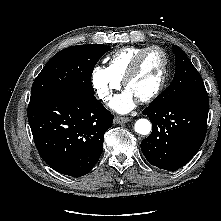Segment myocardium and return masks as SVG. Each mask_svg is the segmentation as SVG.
Listing matches in <instances>:
<instances>
[{
	"label": "myocardium",
	"instance_id": "f54148a6",
	"mask_svg": "<svg viewBox=\"0 0 221 221\" xmlns=\"http://www.w3.org/2000/svg\"><path fill=\"white\" fill-rule=\"evenodd\" d=\"M152 50H156V51L160 52L163 57L162 73H161L159 82H158L157 86L155 87V89L151 93L147 94L146 96L138 99V101L140 103L149 102V101L153 100L154 98H156L162 92V90L165 86V83L167 81V77H168L169 59H168L166 52L161 47L156 46V45L146 47L139 54H137L135 56V58L133 59L129 69L127 70V72L123 78V86L125 88H127V85L130 82V80L139 71L144 57L146 56L147 53H149Z\"/></svg>",
	"mask_w": 221,
	"mask_h": 221
}]
</instances>
